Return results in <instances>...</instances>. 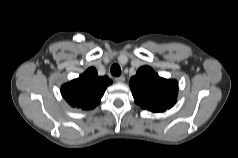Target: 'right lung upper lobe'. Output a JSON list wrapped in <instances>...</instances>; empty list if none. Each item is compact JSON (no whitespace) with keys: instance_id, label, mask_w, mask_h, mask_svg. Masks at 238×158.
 <instances>
[{"instance_id":"1","label":"right lung upper lobe","mask_w":238,"mask_h":158,"mask_svg":"<svg viewBox=\"0 0 238 158\" xmlns=\"http://www.w3.org/2000/svg\"><path fill=\"white\" fill-rule=\"evenodd\" d=\"M112 82L104 76L99 77L95 68H89L79 78L64 84L61 93L65 100L72 106L81 109H93Z\"/></svg>"}]
</instances>
